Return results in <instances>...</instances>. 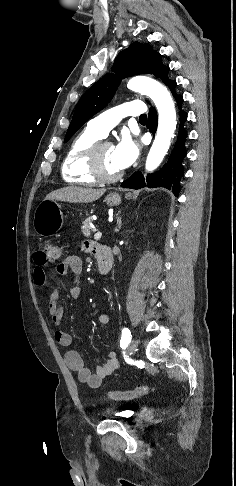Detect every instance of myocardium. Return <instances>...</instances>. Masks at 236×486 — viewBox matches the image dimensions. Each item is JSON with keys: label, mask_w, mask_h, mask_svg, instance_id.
Listing matches in <instances>:
<instances>
[{"label": "myocardium", "mask_w": 236, "mask_h": 486, "mask_svg": "<svg viewBox=\"0 0 236 486\" xmlns=\"http://www.w3.org/2000/svg\"><path fill=\"white\" fill-rule=\"evenodd\" d=\"M105 145H111L108 141L98 140L89 149L87 153V169L92 178L100 183H114L120 180L123 172L109 175L104 171L101 161V150Z\"/></svg>", "instance_id": "f54148a6"}]
</instances>
